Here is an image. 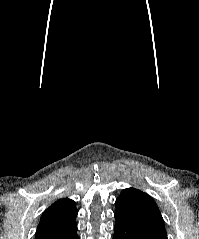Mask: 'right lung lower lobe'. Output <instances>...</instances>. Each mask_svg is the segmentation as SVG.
Here are the masks:
<instances>
[{
	"instance_id": "right-lung-lower-lobe-1",
	"label": "right lung lower lobe",
	"mask_w": 199,
	"mask_h": 239,
	"mask_svg": "<svg viewBox=\"0 0 199 239\" xmlns=\"http://www.w3.org/2000/svg\"><path fill=\"white\" fill-rule=\"evenodd\" d=\"M35 239H79L75 218L57 225L39 227Z\"/></svg>"
}]
</instances>
